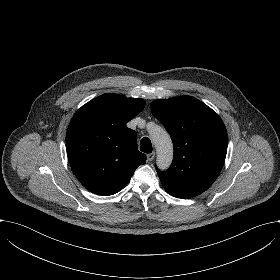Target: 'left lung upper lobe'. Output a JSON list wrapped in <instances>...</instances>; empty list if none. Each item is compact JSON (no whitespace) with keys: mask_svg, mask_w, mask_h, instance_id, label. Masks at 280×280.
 Wrapping results in <instances>:
<instances>
[{"mask_svg":"<svg viewBox=\"0 0 280 280\" xmlns=\"http://www.w3.org/2000/svg\"><path fill=\"white\" fill-rule=\"evenodd\" d=\"M152 114L170 134L174 159L166 171L156 168L165 190L188 199L207 190L218 177L228 136L221 118L191 96L151 102Z\"/></svg>","mask_w":280,"mask_h":280,"instance_id":"left-lung-upper-lobe-1","label":"left lung upper lobe"}]
</instances>
